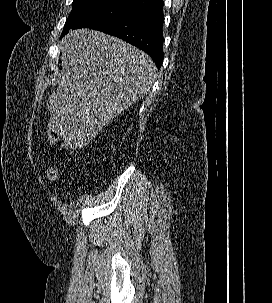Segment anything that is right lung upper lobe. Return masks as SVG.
Instances as JSON below:
<instances>
[{"label": "right lung upper lobe", "instance_id": "cb5924a9", "mask_svg": "<svg viewBox=\"0 0 272 303\" xmlns=\"http://www.w3.org/2000/svg\"><path fill=\"white\" fill-rule=\"evenodd\" d=\"M125 1L133 2V3L137 4L139 9H141V8H145L147 6L153 5L161 0H125Z\"/></svg>", "mask_w": 272, "mask_h": 303}]
</instances>
